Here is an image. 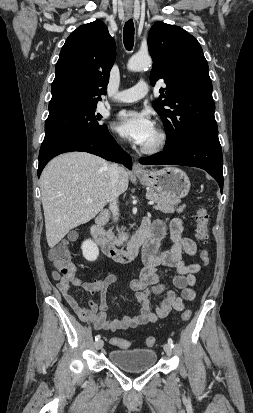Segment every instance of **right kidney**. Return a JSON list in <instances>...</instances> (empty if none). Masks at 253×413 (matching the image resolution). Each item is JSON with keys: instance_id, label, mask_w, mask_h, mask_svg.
<instances>
[{"instance_id": "ca27d5eb", "label": "right kidney", "mask_w": 253, "mask_h": 413, "mask_svg": "<svg viewBox=\"0 0 253 413\" xmlns=\"http://www.w3.org/2000/svg\"><path fill=\"white\" fill-rule=\"evenodd\" d=\"M82 253L86 260L95 261L99 256V249L96 243L88 239L82 243Z\"/></svg>"}]
</instances>
